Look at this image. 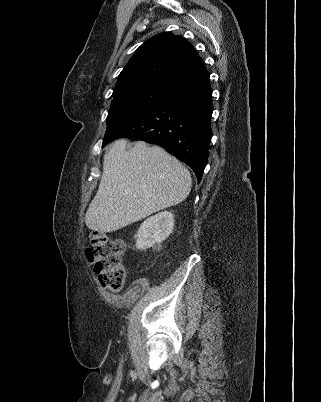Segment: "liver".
Segmentation results:
<instances>
[{"instance_id": "obj_1", "label": "liver", "mask_w": 321, "mask_h": 402, "mask_svg": "<svg viewBox=\"0 0 321 402\" xmlns=\"http://www.w3.org/2000/svg\"><path fill=\"white\" fill-rule=\"evenodd\" d=\"M191 185L188 169L161 147L137 141L127 150V140L120 139L104 155L103 174L85 223L100 233L119 230L179 204Z\"/></svg>"}]
</instances>
